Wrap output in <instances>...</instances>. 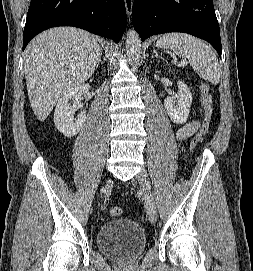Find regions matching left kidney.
Masks as SVG:
<instances>
[{
	"label": "left kidney",
	"instance_id": "1",
	"mask_svg": "<svg viewBox=\"0 0 253 271\" xmlns=\"http://www.w3.org/2000/svg\"><path fill=\"white\" fill-rule=\"evenodd\" d=\"M177 84L178 95L167 97L164 100V106L167 114L174 123L184 124L190 113L192 93L183 81H178Z\"/></svg>",
	"mask_w": 253,
	"mask_h": 271
}]
</instances>
